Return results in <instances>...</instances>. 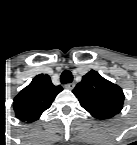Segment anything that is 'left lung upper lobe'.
Wrapping results in <instances>:
<instances>
[{"mask_svg":"<svg viewBox=\"0 0 137 145\" xmlns=\"http://www.w3.org/2000/svg\"><path fill=\"white\" fill-rule=\"evenodd\" d=\"M80 105L97 119H108L123 108L122 89L91 70L73 89Z\"/></svg>","mask_w":137,"mask_h":145,"instance_id":"5c2ea615","label":"left lung upper lobe"}]
</instances>
